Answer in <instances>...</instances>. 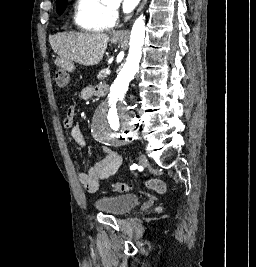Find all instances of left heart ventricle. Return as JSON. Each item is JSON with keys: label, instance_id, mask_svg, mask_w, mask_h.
I'll return each mask as SVG.
<instances>
[{"label": "left heart ventricle", "instance_id": "1", "mask_svg": "<svg viewBox=\"0 0 256 267\" xmlns=\"http://www.w3.org/2000/svg\"><path fill=\"white\" fill-rule=\"evenodd\" d=\"M113 26V22L112 21H106V22H102L101 23V29L105 32L109 31Z\"/></svg>", "mask_w": 256, "mask_h": 267}]
</instances>
